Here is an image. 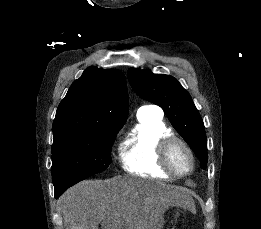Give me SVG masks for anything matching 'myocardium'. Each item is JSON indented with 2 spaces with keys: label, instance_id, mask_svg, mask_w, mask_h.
Here are the masks:
<instances>
[{
  "label": "myocardium",
  "instance_id": "myocardium-1",
  "mask_svg": "<svg viewBox=\"0 0 261 229\" xmlns=\"http://www.w3.org/2000/svg\"><path fill=\"white\" fill-rule=\"evenodd\" d=\"M181 146L185 149L189 157V167L185 171H178L172 164V151L175 147ZM160 161L164 169L174 177H184L189 175L195 165V159L193 151L190 145L181 138L171 136L164 139L160 145Z\"/></svg>",
  "mask_w": 261,
  "mask_h": 229
}]
</instances>
